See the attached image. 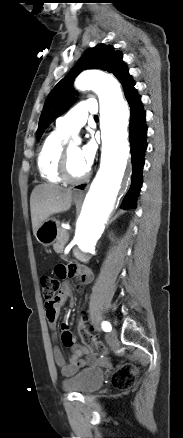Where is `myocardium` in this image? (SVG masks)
<instances>
[{
	"mask_svg": "<svg viewBox=\"0 0 183 438\" xmlns=\"http://www.w3.org/2000/svg\"><path fill=\"white\" fill-rule=\"evenodd\" d=\"M58 174L61 180L65 183L79 184L89 179L91 175V170L88 169L87 172L82 177L79 178L71 177L68 171V148H65L62 150L60 155L59 164H58Z\"/></svg>",
	"mask_w": 183,
	"mask_h": 438,
	"instance_id": "myocardium-1",
	"label": "myocardium"
}]
</instances>
